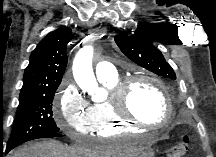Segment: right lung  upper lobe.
<instances>
[{
	"label": "right lung upper lobe",
	"mask_w": 216,
	"mask_h": 157,
	"mask_svg": "<svg viewBox=\"0 0 216 157\" xmlns=\"http://www.w3.org/2000/svg\"><path fill=\"white\" fill-rule=\"evenodd\" d=\"M71 34L70 28L60 27L39 42L25 69L20 98L58 88L67 65L66 45Z\"/></svg>",
	"instance_id": "cb5924a9"
}]
</instances>
